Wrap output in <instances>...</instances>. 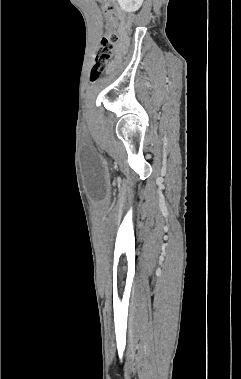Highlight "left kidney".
Returning <instances> with one entry per match:
<instances>
[{"mask_svg": "<svg viewBox=\"0 0 241 379\" xmlns=\"http://www.w3.org/2000/svg\"><path fill=\"white\" fill-rule=\"evenodd\" d=\"M117 1L121 9L129 13L137 11L143 3V0H117Z\"/></svg>", "mask_w": 241, "mask_h": 379, "instance_id": "left-kidney-1", "label": "left kidney"}]
</instances>
